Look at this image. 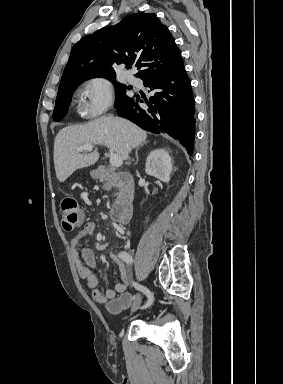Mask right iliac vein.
<instances>
[{"mask_svg":"<svg viewBox=\"0 0 283 384\" xmlns=\"http://www.w3.org/2000/svg\"><path fill=\"white\" fill-rule=\"evenodd\" d=\"M140 302V299H138L135 303V305L132 307V312H134L137 309L138 303Z\"/></svg>","mask_w":283,"mask_h":384,"instance_id":"63e3f726","label":"right iliac vein"}]
</instances>
